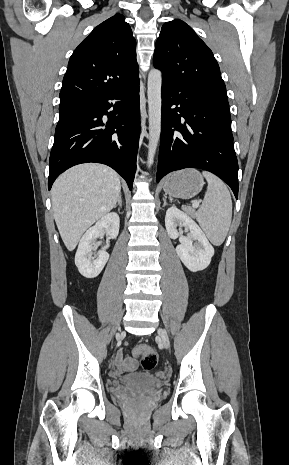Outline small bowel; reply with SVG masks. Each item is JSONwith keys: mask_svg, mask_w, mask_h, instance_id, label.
<instances>
[{"mask_svg": "<svg viewBox=\"0 0 289 465\" xmlns=\"http://www.w3.org/2000/svg\"><path fill=\"white\" fill-rule=\"evenodd\" d=\"M115 363L120 371H132L137 367V361L127 356L124 350H120L116 354Z\"/></svg>", "mask_w": 289, "mask_h": 465, "instance_id": "c3829d8e", "label": "small bowel"}]
</instances>
